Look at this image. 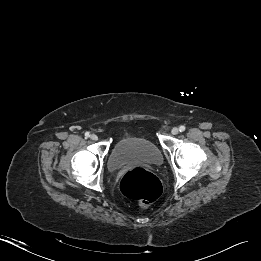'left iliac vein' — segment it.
<instances>
[{"label":"left iliac vein","mask_w":261,"mask_h":261,"mask_svg":"<svg viewBox=\"0 0 261 261\" xmlns=\"http://www.w3.org/2000/svg\"><path fill=\"white\" fill-rule=\"evenodd\" d=\"M171 133L173 135H177L179 133V129L177 127H174L172 130H171Z\"/></svg>","instance_id":"obj_1"}]
</instances>
